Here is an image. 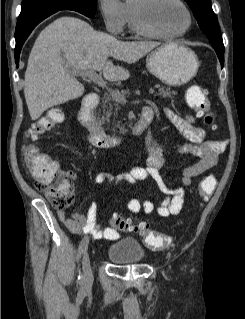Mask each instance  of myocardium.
<instances>
[{"label": "myocardium", "instance_id": "myocardium-1", "mask_svg": "<svg viewBox=\"0 0 245 319\" xmlns=\"http://www.w3.org/2000/svg\"><path fill=\"white\" fill-rule=\"evenodd\" d=\"M154 0H133L131 5L133 22L138 33L154 38L174 39L186 34L193 24V17L189 7L183 0H175L179 3L187 15V25L178 32L167 33L155 28L148 20V10Z\"/></svg>", "mask_w": 245, "mask_h": 319}]
</instances>
